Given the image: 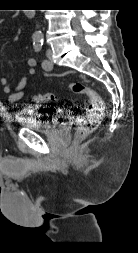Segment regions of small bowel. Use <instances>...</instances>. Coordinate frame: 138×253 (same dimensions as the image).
<instances>
[{"label":"small bowel","instance_id":"obj_1","mask_svg":"<svg viewBox=\"0 0 138 253\" xmlns=\"http://www.w3.org/2000/svg\"><path fill=\"white\" fill-rule=\"evenodd\" d=\"M26 63L28 66V73L30 75H34L36 72L35 71V66H36L35 59L28 58ZM9 80H10V75L3 76L0 78V83L3 86V91L8 95L9 102L15 103V102L22 100L25 95L27 77H22L21 79H19L15 88H12L9 85Z\"/></svg>","mask_w":138,"mask_h":253}]
</instances>
